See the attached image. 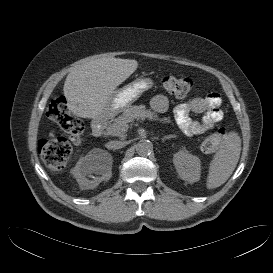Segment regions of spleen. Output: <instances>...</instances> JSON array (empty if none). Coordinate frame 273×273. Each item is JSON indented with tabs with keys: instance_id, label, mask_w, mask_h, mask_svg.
I'll return each instance as SVG.
<instances>
[{
	"instance_id": "3e777b00",
	"label": "spleen",
	"mask_w": 273,
	"mask_h": 273,
	"mask_svg": "<svg viewBox=\"0 0 273 273\" xmlns=\"http://www.w3.org/2000/svg\"><path fill=\"white\" fill-rule=\"evenodd\" d=\"M241 153V139L236 132H229L226 140L209 164L207 189L224 184L233 173Z\"/></svg>"
}]
</instances>
